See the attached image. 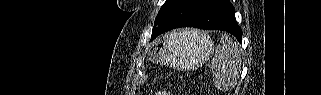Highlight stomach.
<instances>
[{"label":"stomach","mask_w":321,"mask_h":95,"mask_svg":"<svg viewBox=\"0 0 321 95\" xmlns=\"http://www.w3.org/2000/svg\"><path fill=\"white\" fill-rule=\"evenodd\" d=\"M214 42L202 32L186 30L168 33L162 45L155 44L153 60L176 68L192 69L207 61Z\"/></svg>","instance_id":"1"}]
</instances>
